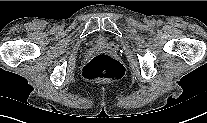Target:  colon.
Returning <instances> with one entry per match:
<instances>
[{
  "label": "colon",
  "mask_w": 207,
  "mask_h": 123,
  "mask_svg": "<svg viewBox=\"0 0 207 123\" xmlns=\"http://www.w3.org/2000/svg\"><path fill=\"white\" fill-rule=\"evenodd\" d=\"M82 74L87 80H114L123 76L124 67L111 56L99 54L84 65Z\"/></svg>",
  "instance_id": "1"
}]
</instances>
